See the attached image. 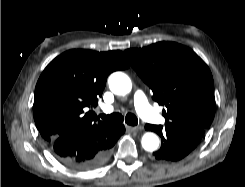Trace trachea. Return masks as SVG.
<instances>
[{
  "label": "trachea",
  "instance_id": "3493384b",
  "mask_svg": "<svg viewBox=\"0 0 245 187\" xmlns=\"http://www.w3.org/2000/svg\"><path fill=\"white\" fill-rule=\"evenodd\" d=\"M99 117H101L102 120L105 121L106 123H112V124L121 123L124 120V117L120 113H113V114H110V115L100 114ZM125 122L128 125L135 126V125L138 124V119H137V117L134 114L128 113L125 116Z\"/></svg>",
  "mask_w": 245,
  "mask_h": 187
}]
</instances>
